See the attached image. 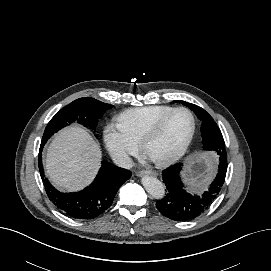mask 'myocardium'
Listing matches in <instances>:
<instances>
[{
	"label": "myocardium",
	"mask_w": 271,
	"mask_h": 271,
	"mask_svg": "<svg viewBox=\"0 0 271 271\" xmlns=\"http://www.w3.org/2000/svg\"><path fill=\"white\" fill-rule=\"evenodd\" d=\"M179 111H185L190 115L191 120H192L191 132L189 134L188 139L184 143V145L180 149H178L176 152H174L173 154L166 156V157H163V158H151L152 161L159 166H168V165H172V164L176 163L187 153V151L191 147L192 142L195 137L196 128H197V122H196V117H195L194 113L189 108H186V107L173 108L171 111H169L164 116H162L158 121H156L153 124V126L143 134V136L140 140V143H139L140 147H141L142 151L147 154L148 145L159 134V132L161 131V129L164 126V124L166 123V121L173 114H175L176 112H179Z\"/></svg>",
	"instance_id": "obj_1"
}]
</instances>
